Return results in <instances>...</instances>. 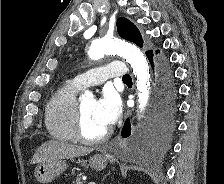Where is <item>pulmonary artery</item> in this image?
Returning a JSON list of instances; mask_svg holds the SVG:
<instances>
[{
  "instance_id": "obj_1",
  "label": "pulmonary artery",
  "mask_w": 224,
  "mask_h": 184,
  "mask_svg": "<svg viewBox=\"0 0 224 184\" xmlns=\"http://www.w3.org/2000/svg\"><path fill=\"white\" fill-rule=\"evenodd\" d=\"M128 70L121 61H112L109 64L78 74L72 82L80 89L100 85L114 77L123 78Z\"/></svg>"
}]
</instances>
